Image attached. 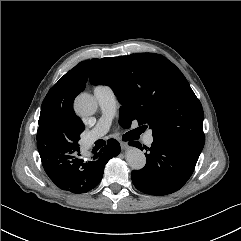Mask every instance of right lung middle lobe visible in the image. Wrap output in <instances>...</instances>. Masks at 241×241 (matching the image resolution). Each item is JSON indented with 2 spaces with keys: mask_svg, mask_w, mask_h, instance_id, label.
I'll return each instance as SVG.
<instances>
[{
  "mask_svg": "<svg viewBox=\"0 0 241 241\" xmlns=\"http://www.w3.org/2000/svg\"><path fill=\"white\" fill-rule=\"evenodd\" d=\"M80 137H77L75 139H73L72 141H69V142H61V143H56V142H53L51 144H39L37 143V147L38 148H41L43 146H46L52 150H55V149H58L60 148L61 146H67V147H72V148H77L79 145H78V141H79Z\"/></svg>",
  "mask_w": 241,
  "mask_h": 241,
  "instance_id": "dd1d6c3e",
  "label": "right lung middle lobe"
}]
</instances>
